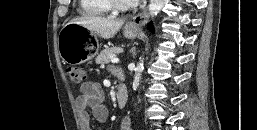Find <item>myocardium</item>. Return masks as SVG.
<instances>
[{"mask_svg": "<svg viewBox=\"0 0 257 130\" xmlns=\"http://www.w3.org/2000/svg\"><path fill=\"white\" fill-rule=\"evenodd\" d=\"M105 2L111 10L120 12L132 10L137 6L135 2L123 3L120 0H105Z\"/></svg>", "mask_w": 257, "mask_h": 130, "instance_id": "obj_1", "label": "myocardium"}]
</instances>
